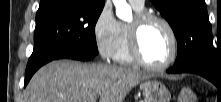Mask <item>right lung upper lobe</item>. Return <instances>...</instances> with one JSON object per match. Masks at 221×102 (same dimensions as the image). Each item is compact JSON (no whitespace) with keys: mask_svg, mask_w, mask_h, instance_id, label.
<instances>
[{"mask_svg":"<svg viewBox=\"0 0 221 102\" xmlns=\"http://www.w3.org/2000/svg\"><path fill=\"white\" fill-rule=\"evenodd\" d=\"M55 1H73V0H40V6L43 7L48 4H51ZM85 2H88L90 5L97 6V5H104L105 1L104 0H83Z\"/></svg>","mask_w":221,"mask_h":102,"instance_id":"cb5924a9","label":"right lung upper lobe"}]
</instances>
